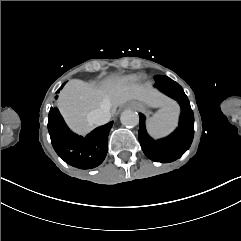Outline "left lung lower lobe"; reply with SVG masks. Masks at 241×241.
I'll list each match as a JSON object with an SVG mask.
<instances>
[{
    "instance_id": "obj_1",
    "label": "left lung lower lobe",
    "mask_w": 241,
    "mask_h": 241,
    "mask_svg": "<svg viewBox=\"0 0 241 241\" xmlns=\"http://www.w3.org/2000/svg\"><path fill=\"white\" fill-rule=\"evenodd\" d=\"M155 86L178 101L181 106L179 127L169 137L153 140L145 129V116L140 114L139 142L144 154L156 162H172L180 158L190 147L194 136V116L189 100L182 87L166 76H156Z\"/></svg>"
}]
</instances>
